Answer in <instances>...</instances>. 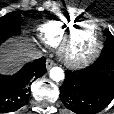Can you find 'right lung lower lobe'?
Segmentation results:
<instances>
[{
  "instance_id": "98d812e1",
  "label": "right lung lower lobe",
  "mask_w": 114,
  "mask_h": 114,
  "mask_svg": "<svg viewBox=\"0 0 114 114\" xmlns=\"http://www.w3.org/2000/svg\"><path fill=\"white\" fill-rule=\"evenodd\" d=\"M5 39L0 38V44ZM46 72L45 58L26 64L13 76L0 75V113L13 112L23 107L29 98L32 81Z\"/></svg>"
}]
</instances>
